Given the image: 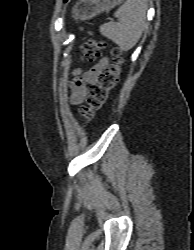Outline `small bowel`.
I'll use <instances>...</instances> for the list:
<instances>
[{"instance_id":"1","label":"small bowel","mask_w":194,"mask_h":250,"mask_svg":"<svg viewBox=\"0 0 194 250\" xmlns=\"http://www.w3.org/2000/svg\"><path fill=\"white\" fill-rule=\"evenodd\" d=\"M108 60H100L92 69L85 72L80 79L73 84L72 101L76 104L82 103L87 96L85 84H93L97 81L99 74L107 67Z\"/></svg>"}]
</instances>
